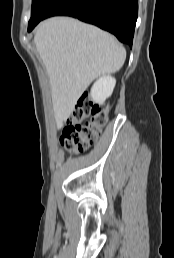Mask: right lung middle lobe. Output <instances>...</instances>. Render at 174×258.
<instances>
[{"label": "right lung middle lobe", "instance_id": "dd1d6c3e", "mask_svg": "<svg viewBox=\"0 0 174 258\" xmlns=\"http://www.w3.org/2000/svg\"><path fill=\"white\" fill-rule=\"evenodd\" d=\"M58 0H32L31 18L28 23V32H30L46 16L48 10Z\"/></svg>", "mask_w": 174, "mask_h": 258}]
</instances>
